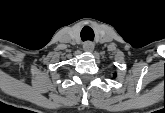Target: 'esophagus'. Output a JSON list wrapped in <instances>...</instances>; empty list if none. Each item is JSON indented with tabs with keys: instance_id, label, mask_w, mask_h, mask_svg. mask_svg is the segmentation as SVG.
Returning a JSON list of instances; mask_svg holds the SVG:
<instances>
[{
	"instance_id": "esophagus-1",
	"label": "esophagus",
	"mask_w": 165,
	"mask_h": 113,
	"mask_svg": "<svg viewBox=\"0 0 165 113\" xmlns=\"http://www.w3.org/2000/svg\"><path fill=\"white\" fill-rule=\"evenodd\" d=\"M83 49L86 52H92L94 50V44L91 41H86L83 45Z\"/></svg>"
}]
</instances>
